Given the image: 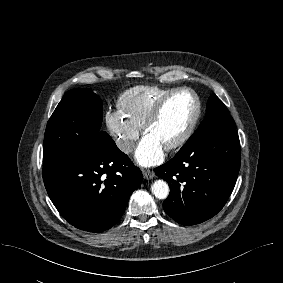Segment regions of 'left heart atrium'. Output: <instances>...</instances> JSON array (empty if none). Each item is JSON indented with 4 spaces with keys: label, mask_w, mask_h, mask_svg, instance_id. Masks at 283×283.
Returning a JSON list of instances; mask_svg holds the SVG:
<instances>
[{
    "label": "left heart atrium",
    "mask_w": 283,
    "mask_h": 283,
    "mask_svg": "<svg viewBox=\"0 0 283 283\" xmlns=\"http://www.w3.org/2000/svg\"><path fill=\"white\" fill-rule=\"evenodd\" d=\"M137 162L145 167L157 165L164 158V147L149 136H144L135 154Z\"/></svg>",
    "instance_id": "1"
}]
</instances>
